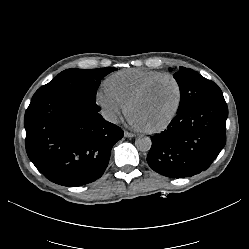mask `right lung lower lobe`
<instances>
[{
    "label": "right lung lower lobe",
    "mask_w": 249,
    "mask_h": 249,
    "mask_svg": "<svg viewBox=\"0 0 249 249\" xmlns=\"http://www.w3.org/2000/svg\"><path fill=\"white\" fill-rule=\"evenodd\" d=\"M96 103L60 93L32 99L26 110V151L50 181L81 186L102 176L113 145L123 137Z\"/></svg>",
    "instance_id": "obj_1"
}]
</instances>
